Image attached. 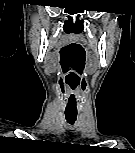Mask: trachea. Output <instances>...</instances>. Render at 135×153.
Listing matches in <instances>:
<instances>
[{"mask_svg": "<svg viewBox=\"0 0 135 153\" xmlns=\"http://www.w3.org/2000/svg\"><path fill=\"white\" fill-rule=\"evenodd\" d=\"M66 120L69 124H74L76 121L77 113L76 112H65Z\"/></svg>", "mask_w": 135, "mask_h": 153, "instance_id": "1", "label": "trachea"}]
</instances>
